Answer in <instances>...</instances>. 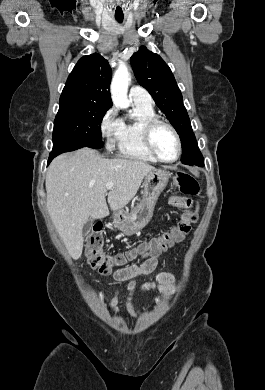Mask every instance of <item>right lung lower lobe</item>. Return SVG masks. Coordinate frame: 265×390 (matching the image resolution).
Wrapping results in <instances>:
<instances>
[{
    "mask_svg": "<svg viewBox=\"0 0 265 390\" xmlns=\"http://www.w3.org/2000/svg\"><path fill=\"white\" fill-rule=\"evenodd\" d=\"M79 148H82V147H63L62 149H58V150L55 147H53V150L49 155L48 164L52 161L53 158H55L57 155L63 153L64 151H66V150L73 151V150H76Z\"/></svg>",
    "mask_w": 265,
    "mask_h": 390,
    "instance_id": "obj_1",
    "label": "right lung lower lobe"
}]
</instances>
